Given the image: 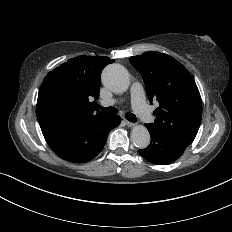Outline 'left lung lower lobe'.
I'll return each mask as SVG.
<instances>
[{
	"label": "left lung lower lobe",
	"instance_id": "0a47b994",
	"mask_svg": "<svg viewBox=\"0 0 232 232\" xmlns=\"http://www.w3.org/2000/svg\"><path fill=\"white\" fill-rule=\"evenodd\" d=\"M147 129L151 136L150 145L139 150V154L147 161L157 165H167L177 160L185 151L187 145L182 142L152 128L147 127Z\"/></svg>",
	"mask_w": 232,
	"mask_h": 232
}]
</instances>
